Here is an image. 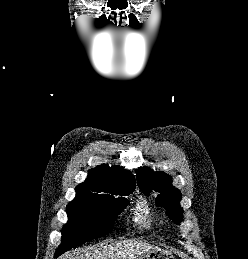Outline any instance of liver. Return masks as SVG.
I'll return each mask as SVG.
<instances>
[{
  "label": "liver",
  "instance_id": "obj_1",
  "mask_svg": "<svg viewBox=\"0 0 248 259\" xmlns=\"http://www.w3.org/2000/svg\"><path fill=\"white\" fill-rule=\"evenodd\" d=\"M151 245L138 240H124L92 250L74 252L61 259H135Z\"/></svg>",
  "mask_w": 248,
  "mask_h": 259
}]
</instances>
